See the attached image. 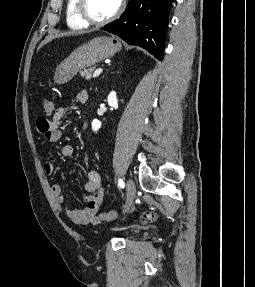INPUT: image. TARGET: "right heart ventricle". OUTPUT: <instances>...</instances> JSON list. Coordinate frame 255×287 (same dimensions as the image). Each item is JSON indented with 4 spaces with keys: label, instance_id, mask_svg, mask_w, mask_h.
Instances as JSON below:
<instances>
[{
    "label": "right heart ventricle",
    "instance_id": "obj_1",
    "mask_svg": "<svg viewBox=\"0 0 255 287\" xmlns=\"http://www.w3.org/2000/svg\"><path fill=\"white\" fill-rule=\"evenodd\" d=\"M85 39H88V38H85ZM82 48H95V47H82Z\"/></svg>",
    "mask_w": 255,
    "mask_h": 287
}]
</instances>
